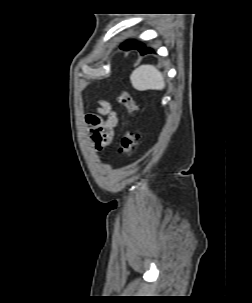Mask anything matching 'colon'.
<instances>
[{"label":"colon","instance_id":"obj_1","mask_svg":"<svg viewBox=\"0 0 252 303\" xmlns=\"http://www.w3.org/2000/svg\"><path fill=\"white\" fill-rule=\"evenodd\" d=\"M119 101L125 107L129 116L132 117L135 115L138 110V105L129 91L122 90L119 96ZM138 139L139 137L135 132L127 130L121 141L122 154L127 157H131L134 154Z\"/></svg>","mask_w":252,"mask_h":303}]
</instances>
